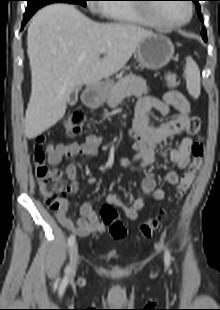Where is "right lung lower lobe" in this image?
<instances>
[{
  "label": "right lung lower lobe",
  "instance_id": "1",
  "mask_svg": "<svg viewBox=\"0 0 220 310\" xmlns=\"http://www.w3.org/2000/svg\"><path fill=\"white\" fill-rule=\"evenodd\" d=\"M38 9L29 10L26 9V12L24 14L22 28L25 26L26 22L31 18V16L37 11Z\"/></svg>",
  "mask_w": 220,
  "mask_h": 310
}]
</instances>
